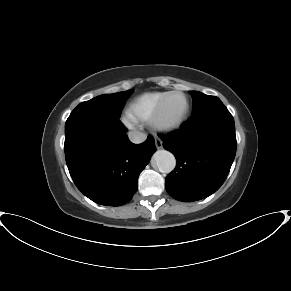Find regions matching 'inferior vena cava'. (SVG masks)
<instances>
[{
	"instance_id": "inferior-vena-cava-1",
	"label": "inferior vena cava",
	"mask_w": 291,
	"mask_h": 291,
	"mask_svg": "<svg viewBox=\"0 0 291 291\" xmlns=\"http://www.w3.org/2000/svg\"><path fill=\"white\" fill-rule=\"evenodd\" d=\"M128 137L132 143L139 144L146 140L147 135L140 131H130Z\"/></svg>"
}]
</instances>
